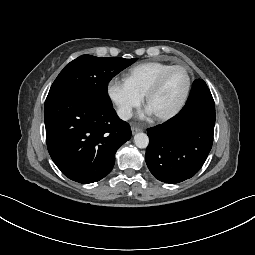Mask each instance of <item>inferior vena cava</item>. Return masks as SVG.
<instances>
[{
    "label": "inferior vena cava",
    "mask_w": 255,
    "mask_h": 255,
    "mask_svg": "<svg viewBox=\"0 0 255 255\" xmlns=\"http://www.w3.org/2000/svg\"><path fill=\"white\" fill-rule=\"evenodd\" d=\"M117 114L122 120H129L132 117V112L130 109L121 108L117 110Z\"/></svg>",
    "instance_id": "1"
}]
</instances>
